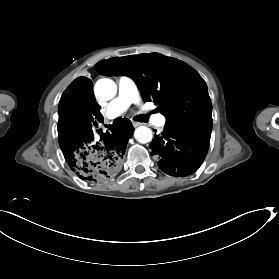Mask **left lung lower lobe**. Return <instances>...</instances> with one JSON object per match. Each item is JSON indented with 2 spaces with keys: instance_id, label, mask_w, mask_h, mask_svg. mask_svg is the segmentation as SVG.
Here are the masks:
<instances>
[{
  "instance_id": "1",
  "label": "left lung lower lobe",
  "mask_w": 279,
  "mask_h": 279,
  "mask_svg": "<svg viewBox=\"0 0 279 279\" xmlns=\"http://www.w3.org/2000/svg\"><path fill=\"white\" fill-rule=\"evenodd\" d=\"M212 127H179L166 124L161 135L153 139L151 155L168 175L185 177L202 164L209 148Z\"/></svg>"
}]
</instances>
